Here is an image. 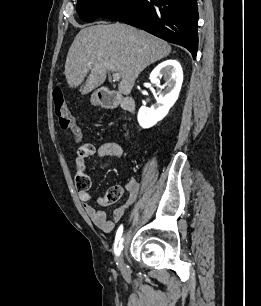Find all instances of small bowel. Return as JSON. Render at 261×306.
Masks as SVG:
<instances>
[{
	"label": "small bowel",
	"instance_id": "1",
	"mask_svg": "<svg viewBox=\"0 0 261 306\" xmlns=\"http://www.w3.org/2000/svg\"><path fill=\"white\" fill-rule=\"evenodd\" d=\"M96 153L99 157H117L123 156V147L115 142L104 143L95 151L93 147V153ZM76 183L78 187V197L83 204V207L90 217L95 226L104 232H111L117 222H119L125 214L126 209L137 199L140 192V185L134 178H130L125 189L128 192V200L126 203L116 208L111 218H108L106 213L102 210L95 208L91 203V195L89 193L90 178L86 171V162L76 163ZM82 184H86L85 187H81ZM120 187V186H119ZM120 189L123 191L122 187Z\"/></svg>",
	"mask_w": 261,
	"mask_h": 306
}]
</instances>
